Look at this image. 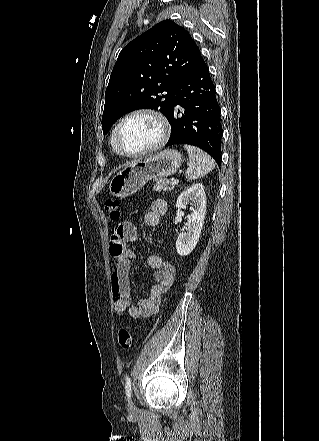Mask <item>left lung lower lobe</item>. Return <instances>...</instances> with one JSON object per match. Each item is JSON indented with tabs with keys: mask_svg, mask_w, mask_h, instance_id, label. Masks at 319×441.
Instances as JSON below:
<instances>
[{
	"mask_svg": "<svg viewBox=\"0 0 319 441\" xmlns=\"http://www.w3.org/2000/svg\"><path fill=\"white\" fill-rule=\"evenodd\" d=\"M220 113L209 69L201 57L175 91L168 118L171 136L166 146H197L210 154L220 165L223 132Z\"/></svg>",
	"mask_w": 319,
	"mask_h": 441,
	"instance_id": "obj_1",
	"label": "left lung lower lobe"
}]
</instances>
